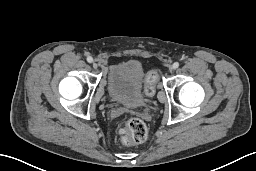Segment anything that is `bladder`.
I'll use <instances>...</instances> for the list:
<instances>
[{
	"instance_id": "bladder-1",
	"label": "bladder",
	"mask_w": 256,
	"mask_h": 171,
	"mask_svg": "<svg viewBox=\"0 0 256 171\" xmlns=\"http://www.w3.org/2000/svg\"><path fill=\"white\" fill-rule=\"evenodd\" d=\"M107 88L110 96L128 108L146 104L143 95V68L135 60L113 65L108 73Z\"/></svg>"
}]
</instances>
